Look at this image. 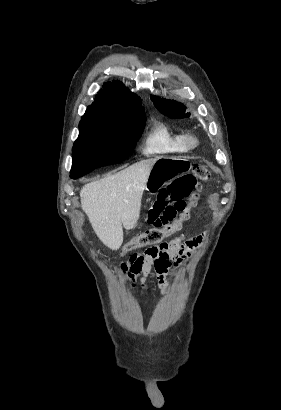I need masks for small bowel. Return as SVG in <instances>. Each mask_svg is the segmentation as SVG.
<instances>
[{"label": "small bowel", "instance_id": "obj_1", "mask_svg": "<svg viewBox=\"0 0 281 410\" xmlns=\"http://www.w3.org/2000/svg\"><path fill=\"white\" fill-rule=\"evenodd\" d=\"M202 239L201 235L182 234L149 247L143 254H133L127 262L122 263L121 272L133 283L139 282L143 289H147V279L154 269L158 287L164 293L167 288L166 275L171 267L178 268L187 261Z\"/></svg>", "mask_w": 281, "mask_h": 410}]
</instances>
